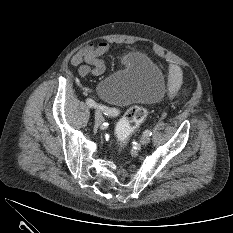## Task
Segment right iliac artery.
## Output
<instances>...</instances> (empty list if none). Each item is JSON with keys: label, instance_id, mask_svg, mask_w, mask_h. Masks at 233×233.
<instances>
[{"label": "right iliac artery", "instance_id": "82829eb1", "mask_svg": "<svg viewBox=\"0 0 233 233\" xmlns=\"http://www.w3.org/2000/svg\"><path fill=\"white\" fill-rule=\"evenodd\" d=\"M86 103L89 107L91 108H97L99 109V111H102L105 115L107 116H112V117H115L119 114V111L115 108H110V107H107V106H103V105H98L95 103L94 100L88 98L86 100Z\"/></svg>", "mask_w": 233, "mask_h": 233}]
</instances>
